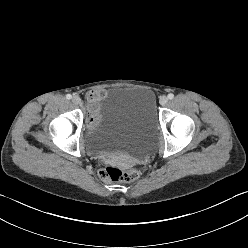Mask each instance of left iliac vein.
<instances>
[{
    "instance_id": "left-iliac-vein-1",
    "label": "left iliac vein",
    "mask_w": 248,
    "mask_h": 248,
    "mask_svg": "<svg viewBox=\"0 0 248 248\" xmlns=\"http://www.w3.org/2000/svg\"><path fill=\"white\" fill-rule=\"evenodd\" d=\"M160 104L162 105V106H165L167 103H168V97L167 96H162L161 98H160Z\"/></svg>"
}]
</instances>
